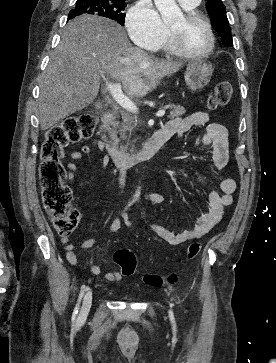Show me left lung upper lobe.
<instances>
[{"mask_svg": "<svg viewBox=\"0 0 276 363\" xmlns=\"http://www.w3.org/2000/svg\"><path fill=\"white\" fill-rule=\"evenodd\" d=\"M206 8L212 20V27L221 36V41L226 46H233L231 28L226 16V8L222 1L210 0Z\"/></svg>", "mask_w": 276, "mask_h": 363, "instance_id": "1", "label": "left lung upper lobe"}]
</instances>
